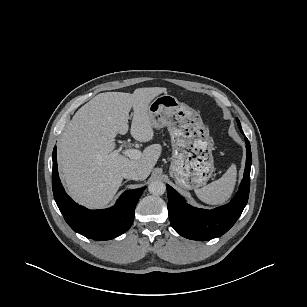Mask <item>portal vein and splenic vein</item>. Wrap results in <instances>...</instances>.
Here are the masks:
<instances>
[{"mask_svg":"<svg viewBox=\"0 0 307 307\" xmlns=\"http://www.w3.org/2000/svg\"><path fill=\"white\" fill-rule=\"evenodd\" d=\"M119 152V151H117ZM127 157H129L130 159H134V160H138L141 158V151L137 150V149H126L123 152Z\"/></svg>","mask_w":307,"mask_h":307,"instance_id":"obj_1","label":"portal vein and splenic vein"}]
</instances>
